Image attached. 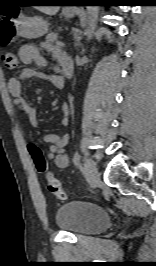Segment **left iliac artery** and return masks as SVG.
<instances>
[{
    "label": "left iliac artery",
    "mask_w": 156,
    "mask_h": 266,
    "mask_svg": "<svg viewBox=\"0 0 156 266\" xmlns=\"http://www.w3.org/2000/svg\"><path fill=\"white\" fill-rule=\"evenodd\" d=\"M73 162H74V164H75L76 166L79 165V163H80V154H79L78 152H76V153L74 154Z\"/></svg>",
    "instance_id": "obj_1"
}]
</instances>
